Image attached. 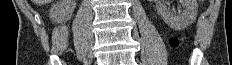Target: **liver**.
Segmentation results:
<instances>
[{
	"mask_svg": "<svg viewBox=\"0 0 232 65\" xmlns=\"http://www.w3.org/2000/svg\"><path fill=\"white\" fill-rule=\"evenodd\" d=\"M52 0H33L35 4L42 5L51 2Z\"/></svg>",
	"mask_w": 232,
	"mask_h": 65,
	"instance_id": "obj_1",
	"label": "liver"
}]
</instances>
